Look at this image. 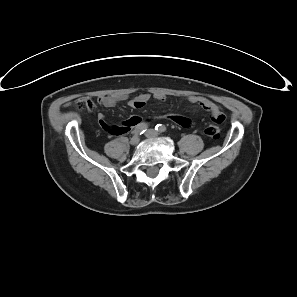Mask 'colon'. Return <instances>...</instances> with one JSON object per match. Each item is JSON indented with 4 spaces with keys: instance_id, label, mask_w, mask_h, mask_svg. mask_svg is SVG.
Segmentation results:
<instances>
[{
    "instance_id": "5ec220e1",
    "label": "colon",
    "mask_w": 297,
    "mask_h": 297,
    "mask_svg": "<svg viewBox=\"0 0 297 297\" xmlns=\"http://www.w3.org/2000/svg\"><path fill=\"white\" fill-rule=\"evenodd\" d=\"M75 107L80 111H88L92 112L96 109V103L93 100H77L74 103ZM214 122L217 124L221 123L223 121L222 116H218L215 119H213ZM204 133L207 137L211 139H218L220 137V129L216 125H209L205 128Z\"/></svg>"
}]
</instances>
